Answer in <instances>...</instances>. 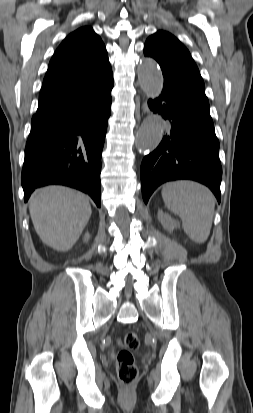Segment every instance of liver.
Here are the masks:
<instances>
[{
  "instance_id": "obj_1",
  "label": "liver",
  "mask_w": 253,
  "mask_h": 413,
  "mask_svg": "<svg viewBox=\"0 0 253 413\" xmlns=\"http://www.w3.org/2000/svg\"><path fill=\"white\" fill-rule=\"evenodd\" d=\"M29 211L42 242L61 252L76 243L92 213L87 196L62 186L36 190L29 200Z\"/></svg>"
}]
</instances>
